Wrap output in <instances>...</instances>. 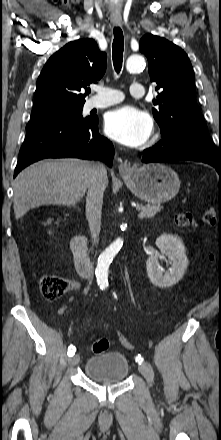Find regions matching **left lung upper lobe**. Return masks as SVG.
I'll list each match as a JSON object with an SVG mask.
<instances>
[{
    "instance_id": "left-lung-upper-lobe-1",
    "label": "left lung upper lobe",
    "mask_w": 221,
    "mask_h": 440,
    "mask_svg": "<svg viewBox=\"0 0 221 440\" xmlns=\"http://www.w3.org/2000/svg\"><path fill=\"white\" fill-rule=\"evenodd\" d=\"M140 51L149 64L159 95L153 101V116L163 140L172 146H201L221 152L212 142L195 95V76L187 54L174 43L152 34L140 40Z\"/></svg>"
}]
</instances>
